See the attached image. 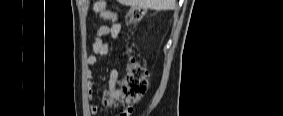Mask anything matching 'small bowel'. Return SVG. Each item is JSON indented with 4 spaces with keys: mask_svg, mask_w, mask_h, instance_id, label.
Here are the masks:
<instances>
[{
    "mask_svg": "<svg viewBox=\"0 0 283 116\" xmlns=\"http://www.w3.org/2000/svg\"><path fill=\"white\" fill-rule=\"evenodd\" d=\"M92 9L98 16L106 21L111 22V25H101L96 33L93 42V53L90 54L86 62L90 66L99 64L100 58L106 56L110 51L111 42L117 40L120 35L122 24L118 12L111 10L107 7L104 1H96L93 3ZM107 39V40H105ZM89 76L92 77V71L89 72ZM119 81V72L117 69H111L108 76L107 86L110 92L114 93L117 90V84ZM94 81H91L89 86V97L93 95ZM89 110L92 115L98 112L96 105H90Z\"/></svg>",
    "mask_w": 283,
    "mask_h": 116,
    "instance_id": "c3829d8e",
    "label": "small bowel"
}]
</instances>
